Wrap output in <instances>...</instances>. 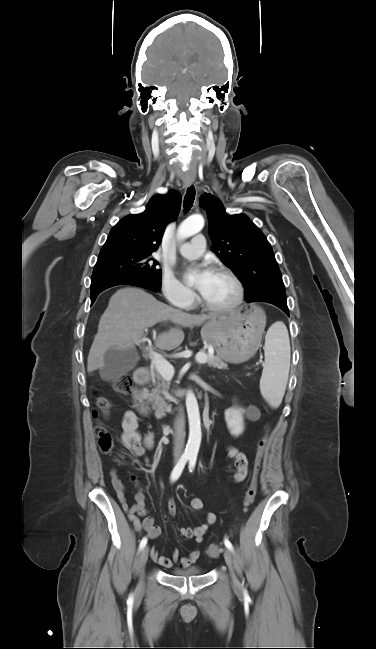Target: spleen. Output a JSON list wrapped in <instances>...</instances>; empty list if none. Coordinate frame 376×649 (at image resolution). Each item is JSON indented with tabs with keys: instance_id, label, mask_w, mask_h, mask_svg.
Masks as SVG:
<instances>
[{
	"instance_id": "spleen-1",
	"label": "spleen",
	"mask_w": 376,
	"mask_h": 649,
	"mask_svg": "<svg viewBox=\"0 0 376 649\" xmlns=\"http://www.w3.org/2000/svg\"><path fill=\"white\" fill-rule=\"evenodd\" d=\"M264 352L260 391L270 406L277 408L282 402L290 369V341L283 323L277 322L269 328Z\"/></svg>"
}]
</instances>
